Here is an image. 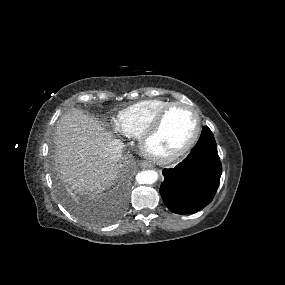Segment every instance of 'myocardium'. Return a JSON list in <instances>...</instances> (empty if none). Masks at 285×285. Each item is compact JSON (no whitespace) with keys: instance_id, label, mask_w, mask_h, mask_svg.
Returning a JSON list of instances; mask_svg holds the SVG:
<instances>
[{"instance_id":"1","label":"myocardium","mask_w":285,"mask_h":285,"mask_svg":"<svg viewBox=\"0 0 285 285\" xmlns=\"http://www.w3.org/2000/svg\"><path fill=\"white\" fill-rule=\"evenodd\" d=\"M176 107H185L194 114L196 118L195 131L193 135L191 136V138L178 150L174 151L171 154L165 155V156L155 155L148 149V142L158 133L168 113L173 108H176ZM201 132H202V120H201V116L198 110L192 105L187 104V103L172 102L155 117V119L149 124V126L141 134V136L139 137L140 138L139 147H140L142 154L145 157H147L149 160H151L152 162L159 164V165H168V164L175 162L176 160L181 158L183 155H185L189 150H191L192 147L197 143L201 135Z\"/></svg>"}]
</instances>
